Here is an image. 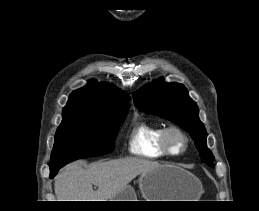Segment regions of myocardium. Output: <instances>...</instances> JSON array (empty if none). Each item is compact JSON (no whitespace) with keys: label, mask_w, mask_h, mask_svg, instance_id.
<instances>
[{"label":"myocardium","mask_w":259,"mask_h":211,"mask_svg":"<svg viewBox=\"0 0 259 211\" xmlns=\"http://www.w3.org/2000/svg\"><path fill=\"white\" fill-rule=\"evenodd\" d=\"M177 137L179 143L177 146L172 144V137ZM188 136L178 126H168L164 128L161 136V145L163 150L170 156H179L185 152L188 146Z\"/></svg>","instance_id":"f54148a6"}]
</instances>
